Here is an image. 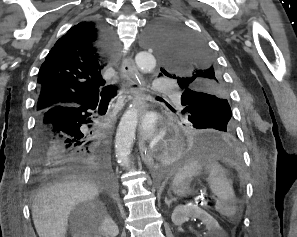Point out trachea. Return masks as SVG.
Instances as JSON below:
<instances>
[{
    "instance_id": "trachea-1",
    "label": "trachea",
    "mask_w": 297,
    "mask_h": 237,
    "mask_svg": "<svg viewBox=\"0 0 297 237\" xmlns=\"http://www.w3.org/2000/svg\"><path fill=\"white\" fill-rule=\"evenodd\" d=\"M118 86L116 85H109L102 89L100 95H101V101H109L114 95L117 94Z\"/></svg>"
}]
</instances>
